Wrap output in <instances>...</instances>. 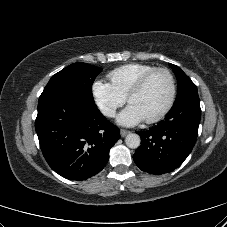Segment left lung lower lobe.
<instances>
[{"label":"left lung lower lobe","instance_id":"0a47b994","mask_svg":"<svg viewBox=\"0 0 227 227\" xmlns=\"http://www.w3.org/2000/svg\"><path fill=\"white\" fill-rule=\"evenodd\" d=\"M201 109L197 92L176 100L169 114L156 126L138 132L141 145L133 159L150 174L169 173L190 154L198 134Z\"/></svg>","mask_w":227,"mask_h":227}]
</instances>
